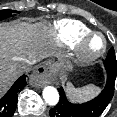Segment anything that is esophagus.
I'll use <instances>...</instances> for the list:
<instances>
[{"mask_svg":"<svg viewBox=\"0 0 117 117\" xmlns=\"http://www.w3.org/2000/svg\"><path fill=\"white\" fill-rule=\"evenodd\" d=\"M54 72V66L46 63L37 68V70L31 75V83L37 87H41L49 83L52 74Z\"/></svg>","mask_w":117,"mask_h":117,"instance_id":"34e87169","label":"esophagus"}]
</instances>
